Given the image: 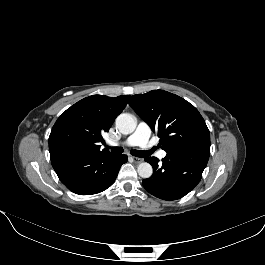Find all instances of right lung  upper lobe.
<instances>
[{
  "label": "right lung upper lobe",
  "mask_w": 265,
  "mask_h": 265,
  "mask_svg": "<svg viewBox=\"0 0 265 265\" xmlns=\"http://www.w3.org/2000/svg\"><path fill=\"white\" fill-rule=\"evenodd\" d=\"M130 95L86 97L68 108L56 121L49 136L51 161L92 154H105L99 142L115 118L123 111Z\"/></svg>",
  "instance_id": "1"
}]
</instances>
